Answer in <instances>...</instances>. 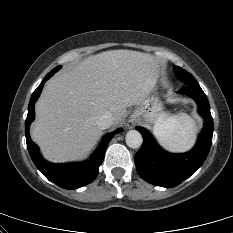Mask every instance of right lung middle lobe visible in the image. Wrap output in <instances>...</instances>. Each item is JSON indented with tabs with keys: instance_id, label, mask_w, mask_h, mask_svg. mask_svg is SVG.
Instances as JSON below:
<instances>
[{
	"instance_id": "obj_1",
	"label": "right lung middle lobe",
	"mask_w": 233,
	"mask_h": 233,
	"mask_svg": "<svg viewBox=\"0 0 233 233\" xmlns=\"http://www.w3.org/2000/svg\"><path fill=\"white\" fill-rule=\"evenodd\" d=\"M61 68V66H57L56 68H54L53 70H51V72L50 73H55V72H57L59 69Z\"/></svg>"
}]
</instances>
